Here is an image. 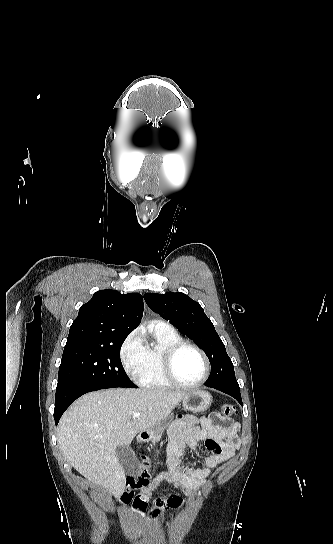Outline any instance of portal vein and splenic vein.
I'll use <instances>...</instances> for the list:
<instances>
[{"label": "portal vein and splenic vein", "instance_id": "1", "mask_svg": "<svg viewBox=\"0 0 333 544\" xmlns=\"http://www.w3.org/2000/svg\"><path fill=\"white\" fill-rule=\"evenodd\" d=\"M140 415H141V413H134L133 418H138V417H140Z\"/></svg>", "mask_w": 333, "mask_h": 544}]
</instances>
